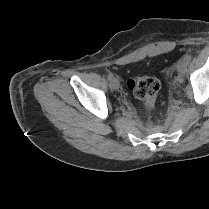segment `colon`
<instances>
[{"label":"colon","mask_w":209,"mask_h":209,"mask_svg":"<svg viewBox=\"0 0 209 209\" xmlns=\"http://www.w3.org/2000/svg\"><path fill=\"white\" fill-rule=\"evenodd\" d=\"M128 87L135 97L143 102L147 110L154 108L160 89L158 79L149 76L136 77L129 80Z\"/></svg>","instance_id":"5ec220e1"}]
</instances>
